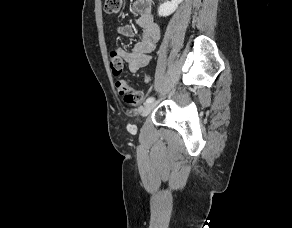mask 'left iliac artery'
<instances>
[{
  "label": "left iliac artery",
  "mask_w": 292,
  "mask_h": 228,
  "mask_svg": "<svg viewBox=\"0 0 292 228\" xmlns=\"http://www.w3.org/2000/svg\"><path fill=\"white\" fill-rule=\"evenodd\" d=\"M153 101H155V98L149 97V98H147L146 103L153 102Z\"/></svg>",
  "instance_id": "44dca946"
}]
</instances>
